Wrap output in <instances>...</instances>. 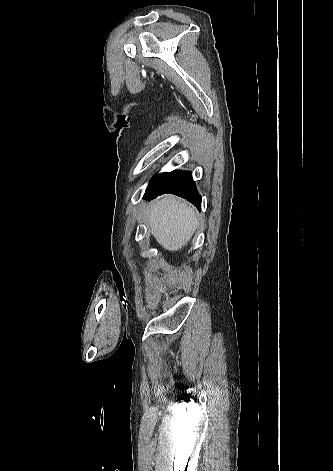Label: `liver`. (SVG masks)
Instances as JSON below:
<instances>
[{
  "label": "liver",
  "mask_w": 333,
  "mask_h": 471,
  "mask_svg": "<svg viewBox=\"0 0 333 471\" xmlns=\"http://www.w3.org/2000/svg\"><path fill=\"white\" fill-rule=\"evenodd\" d=\"M148 222L154 238L169 251L181 250L198 227L194 209L173 195L153 203Z\"/></svg>",
  "instance_id": "liver-1"
}]
</instances>
